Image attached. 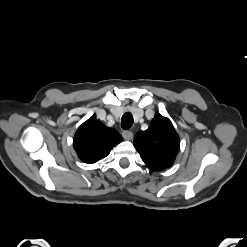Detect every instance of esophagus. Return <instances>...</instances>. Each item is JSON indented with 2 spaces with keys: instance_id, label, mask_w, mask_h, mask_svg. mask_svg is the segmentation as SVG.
<instances>
[{
  "instance_id": "1",
  "label": "esophagus",
  "mask_w": 247,
  "mask_h": 247,
  "mask_svg": "<svg viewBox=\"0 0 247 247\" xmlns=\"http://www.w3.org/2000/svg\"><path fill=\"white\" fill-rule=\"evenodd\" d=\"M122 136L125 140H132L133 139V133L131 131H124L122 133Z\"/></svg>"
}]
</instances>
